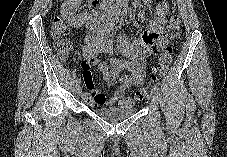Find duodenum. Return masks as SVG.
Returning a JSON list of instances; mask_svg holds the SVG:
<instances>
[{"mask_svg": "<svg viewBox=\"0 0 227 157\" xmlns=\"http://www.w3.org/2000/svg\"><path fill=\"white\" fill-rule=\"evenodd\" d=\"M91 1V7L94 13H97V11L101 8L102 4L100 0H90ZM122 15H115L113 21L114 23H122ZM108 29V26H103L99 23H93L92 24V32L95 33H102L105 32Z\"/></svg>", "mask_w": 227, "mask_h": 157, "instance_id": "duodenum-1", "label": "duodenum"}]
</instances>
